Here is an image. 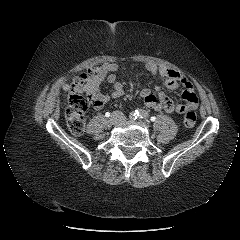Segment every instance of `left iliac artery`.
Listing matches in <instances>:
<instances>
[{"mask_svg":"<svg viewBox=\"0 0 240 240\" xmlns=\"http://www.w3.org/2000/svg\"><path fill=\"white\" fill-rule=\"evenodd\" d=\"M137 116L141 119H147L149 117V114L145 110H138Z\"/></svg>","mask_w":240,"mask_h":240,"instance_id":"obj_1","label":"left iliac artery"}]
</instances>
